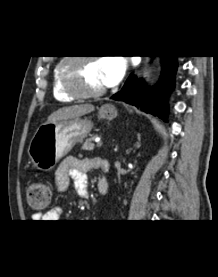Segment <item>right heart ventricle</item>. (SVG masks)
Masks as SVG:
<instances>
[{"label":"right heart ventricle","instance_id":"e07e8e85","mask_svg":"<svg viewBox=\"0 0 218 277\" xmlns=\"http://www.w3.org/2000/svg\"><path fill=\"white\" fill-rule=\"evenodd\" d=\"M60 62L56 63L52 71V94L53 97L60 102H72L74 98L66 94L60 85L58 66Z\"/></svg>","mask_w":218,"mask_h":277}]
</instances>
